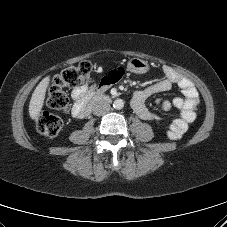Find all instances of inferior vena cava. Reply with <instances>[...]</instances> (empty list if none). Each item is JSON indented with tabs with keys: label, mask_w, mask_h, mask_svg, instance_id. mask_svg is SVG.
Instances as JSON below:
<instances>
[{
	"label": "inferior vena cava",
	"mask_w": 227,
	"mask_h": 227,
	"mask_svg": "<svg viewBox=\"0 0 227 227\" xmlns=\"http://www.w3.org/2000/svg\"><path fill=\"white\" fill-rule=\"evenodd\" d=\"M110 108V104L100 101L94 104L92 111L94 115L101 116L108 113L110 111Z\"/></svg>",
	"instance_id": "obj_1"
}]
</instances>
